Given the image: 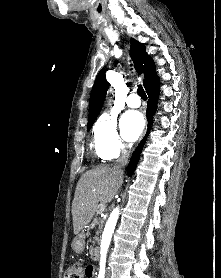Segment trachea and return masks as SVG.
Returning a JSON list of instances; mask_svg holds the SVG:
<instances>
[{"instance_id":"obj_1","label":"trachea","mask_w":221,"mask_h":278,"mask_svg":"<svg viewBox=\"0 0 221 278\" xmlns=\"http://www.w3.org/2000/svg\"><path fill=\"white\" fill-rule=\"evenodd\" d=\"M137 93L138 95L143 99V100H146L147 99V95L142 87V85H138V88H137Z\"/></svg>"}]
</instances>
